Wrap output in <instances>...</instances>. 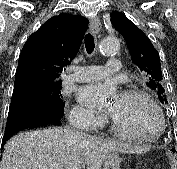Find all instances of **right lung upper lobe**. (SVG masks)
Returning <instances> with one entry per match:
<instances>
[{"label": "right lung upper lobe", "instance_id": "right-lung-upper-lobe-1", "mask_svg": "<svg viewBox=\"0 0 177 169\" xmlns=\"http://www.w3.org/2000/svg\"><path fill=\"white\" fill-rule=\"evenodd\" d=\"M86 21L82 16L65 13L46 21L23 46L15 82L61 83L60 72L79 51Z\"/></svg>", "mask_w": 177, "mask_h": 169}]
</instances>
